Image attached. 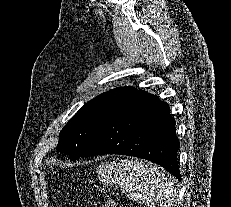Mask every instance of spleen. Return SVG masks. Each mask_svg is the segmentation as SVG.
<instances>
[{
	"label": "spleen",
	"mask_w": 231,
	"mask_h": 207,
	"mask_svg": "<svg viewBox=\"0 0 231 207\" xmlns=\"http://www.w3.org/2000/svg\"><path fill=\"white\" fill-rule=\"evenodd\" d=\"M98 175L105 184L120 186L123 193L150 207H170L176 202L174 184L157 166L138 160L104 162Z\"/></svg>",
	"instance_id": "obj_1"
}]
</instances>
